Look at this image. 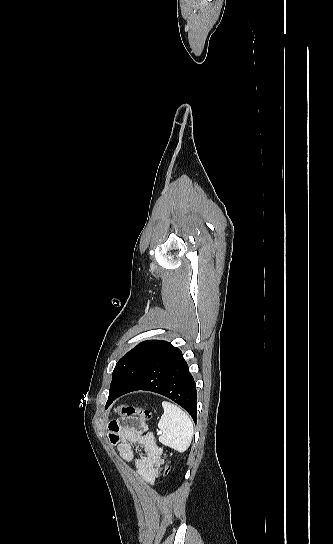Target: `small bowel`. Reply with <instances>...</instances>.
<instances>
[{"label":"small bowel","mask_w":333,"mask_h":544,"mask_svg":"<svg viewBox=\"0 0 333 544\" xmlns=\"http://www.w3.org/2000/svg\"><path fill=\"white\" fill-rule=\"evenodd\" d=\"M108 438L117 446L120 457L133 462L138 475L146 483H152L163 460L146 425L132 418L112 421L108 424ZM134 447L141 448L138 457Z\"/></svg>","instance_id":"c3829d8e"}]
</instances>
